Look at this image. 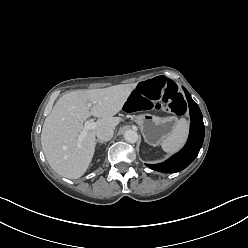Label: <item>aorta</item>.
Returning a JSON list of instances; mask_svg holds the SVG:
<instances>
[{
    "label": "aorta",
    "instance_id": "762f6f07",
    "mask_svg": "<svg viewBox=\"0 0 248 248\" xmlns=\"http://www.w3.org/2000/svg\"><path fill=\"white\" fill-rule=\"evenodd\" d=\"M124 138L129 143H135L138 140V133L134 130H127L124 133Z\"/></svg>",
    "mask_w": 248,
    "mask_h": 248
}]
</instances>
